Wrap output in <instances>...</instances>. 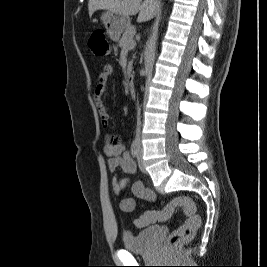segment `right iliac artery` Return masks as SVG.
I'll return each mask as SVG.
<instances>
[{
  "label": "right iliac artery",
  "instance_id": "82829eb1",
  "mask_svg": "<svg viewBox=\"0 0 267 267\" xmlns=\"http://www.w3.org/2000/svg\"><path fill=\"white\" fill-rule=\"evenodd\" d=\"M138 144L136 141H133L132 145H131V154L133 157H137L138 156Z\"/></svg>",
  "mask_w": 267,
  "mask_h": 267
}]
</instances>
